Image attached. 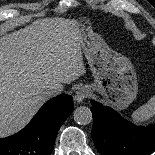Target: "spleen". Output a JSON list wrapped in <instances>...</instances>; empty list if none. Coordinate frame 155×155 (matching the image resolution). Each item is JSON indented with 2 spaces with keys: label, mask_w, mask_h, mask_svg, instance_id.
<instances>
[{
  "label": "spleen",
  "mask_w": 155,
  "mask_h": 155,
  "mask_svg": "<svg viewBox=\"0 0 155 155\" xmlns=\"http://www.w3.org/2000/svg\"><path fill=\"white\" fill-rule=\"evenodd\" d=\"M155 115V96L149 99V101L134 111L131 115V119L136 122H147Z\"/></svg>",
  "instance_id": "1"
}]
</instances>
